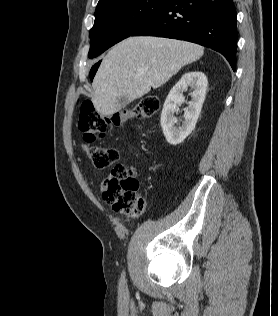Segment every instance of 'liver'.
I'll return each mask as SVG.
<instances>
[{"instance_id":"1","label":"liver","mask_w":278,"mask_h":316,"mask_svg":"<svg viewBox=\"0 0 278 316\" xmlns=\"http://www.w3.org/2000/svg\"><path fill=\"white\" fill-rule=\"evenodd\" d=\"M204 48L187 41L163 37H129L103 58L92 86V102L103 116L121 109L118 99L128 102L165 84L187 64L199 60Z\"/></svg>"}]
</instances>
